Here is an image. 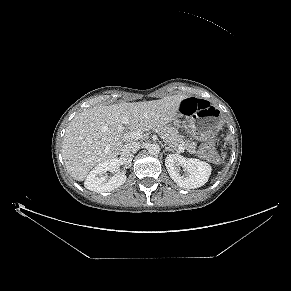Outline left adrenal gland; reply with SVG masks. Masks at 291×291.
I'll return each mask as SVG.
<instances>
[{
	"mask_svg": "<svg viewBox=\"0 0 291 291\" xmlns=\"http://www.w3.org/2000/svg\"><path fill=\"white\" fill-rule=\"evenodd\" d=\"M165 151L166 152H174V150L173 149H171L170 147H167L166 145H165Z\"/></svg>",
	"mask_w": 291,
	"mask_h": 291,
	"instance_id": "obj_1",
	"label": "left adrenal gland"
}]
</instances>
